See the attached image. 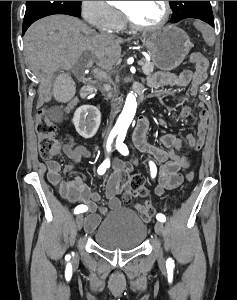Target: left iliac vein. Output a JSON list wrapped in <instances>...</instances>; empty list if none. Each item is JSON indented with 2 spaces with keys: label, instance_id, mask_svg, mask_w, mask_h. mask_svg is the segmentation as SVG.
<instances>
[{
  "label": "left iliac vein",
  "instance_id": "1",
  "mask_svg": "<svg viewBox=\"0 0 237 300\" xmlns=\"http://www.w3.org/2000/svg\"><path fill=\"white\" fill-rule=\"evenodd\" d=\"M155 232H157L160 236L164 235V225L162 222L155 223ZM159 261L161 263L164 261L162 254H160Z\"/></svg>",
  "mask_w": 237,
  "mask_h": 300
}]
</instances>
